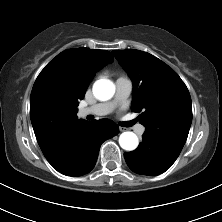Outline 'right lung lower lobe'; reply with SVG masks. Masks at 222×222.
I'll list each match as a JSON object with an SVG mask.
<instances>
[{
	"instance_id": "98d812e1",
	"label": "right lung lower lobe",
	"mask_w": 222,
	"mask_h": 222,
	"mask_svg": "<svg viewBox=\"0 0 222 222\" xmlns=\"http://www.w3.org/2000/svg\"><path fill=\"white\" fill-rule=\"evenodd\" d=\"M118 132V125L108 119L82 122L63 132L56 144L43 154L60 173L81 176L94 168L101 144Z\"/></svg>"
}]
</instances>
